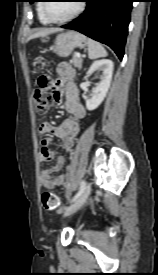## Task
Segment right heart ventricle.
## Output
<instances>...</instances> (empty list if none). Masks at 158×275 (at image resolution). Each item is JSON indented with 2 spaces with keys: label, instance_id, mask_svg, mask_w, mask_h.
Returning <instances> with one entry per match:
<instances>
[{
  "label": "right heart ventricle",
  "instance_id": "e07e8e85",
  "mask_svg": "<svg viewBox=\"0 0 158 275\" xmlns=\"http://www.w3.org/2000/svg\"><path fill=\"white\" fill-rule=\"evenodd\" d=\"M40 2H42V1H40ZM37 14H38V19H39L40 23H42L44 25H48L50 23L47 21V19L44 17V15L42 13V3L37 4Z\"/></svg>",
  "mask_w": 158,
  "mask_h": 275
}]
</instances>
